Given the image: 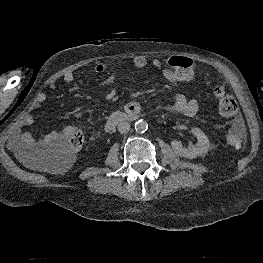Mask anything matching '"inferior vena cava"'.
I'll use <instances>...</instances> for the list:
<instances>
[{
  "label": "inferior vena cava",
  "mask_w": 263,
  "mask_h": 263,
  "mask_svg": "<svg viewBox=\"0 0 263 263\" xmlns=\"http://www.w3.org/2000/svg\"><path fill=\"white\" fill-rule=\"evenodd\" d=\"M118 131L121 134H126L130 131V124L128 122H120L118 124Z\"/></svg>",
  "instance_id": "obj_1"
}]
</instances>
